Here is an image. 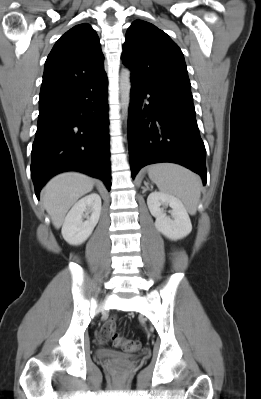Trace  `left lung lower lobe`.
Wrapping results in <instances>:
<instances>
[{
    "instance_id": "obj_1",
    "label": "left lung lower lobe",
    "mask_w": 261,
    "mask_h": 399,
    "mask_svg": "<svg viewBox=\"0 0 261 399\" xmlns=\"http://www.w3.org/2000/svg\"><path fill=\"white\" fill-rule=\"evenodd\" d=\"M128 143L132 178L149 164L173 162L206 183V151L192 93L150 85L131 75Z\"/></svg>"
}]
</instances>
